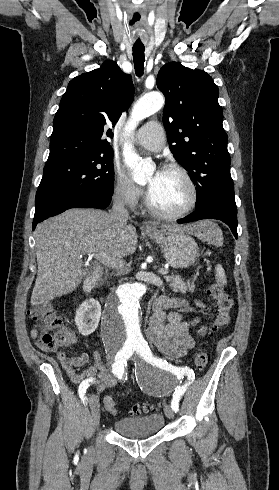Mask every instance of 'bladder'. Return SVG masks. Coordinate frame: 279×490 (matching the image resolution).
<instances>
[{"instance_id": "31cf9c89", "label": "bladder", "mask_w": 279, "mask_h": 490, "mask_svg": "<svg viewBox=\"0 0 279 490\" xmlns=\"http://www.w3.org/2000/svg\"><path fill=\"white\" fill-rule=\"evenodd\" d=\"M165 417L154 413L144 417H126L113 422L112 429L121 436H153L160 433Z\"/></svg>"}]
</instances>
